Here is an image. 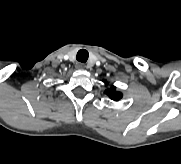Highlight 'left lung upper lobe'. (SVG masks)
<instances>
[{
	"mask_svg": "<svg viewBox=\"0 0 181 164\" xmlns=\"http://www.w3.org/2000/svg\"><path fill=\"white\" fill-rule=\"evenodd\" d=\"M107 84L106 81H104ZM105 94L109 96L110 99L114 101H119L122 98V93L116 91L115 86H111L105 90Z\"/></svg>",
	"mask_w": 181,
	"mask_h": 164,
	"instance_id": "obj_1",
	"label": "left lung upper lobe"
}]
</instances>
